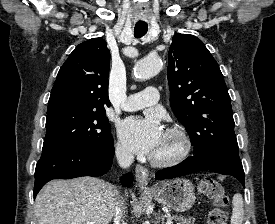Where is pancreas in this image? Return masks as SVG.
Masks as SVG:
<instances>
[{
  "label": "pancreas",
  "instance_id": "pancreas-1",
  "mask_svg": "<svg viewBox=\"0 0 275 224\" xmlns=\"http://www.w3.org/2000/svg\"><path fill=\"white\" fill-rule=\"evenodd\" d=\"M173 219L182 222V224H194L195 219L192 217L174 216Z\"/></svg>",
  "mask_w": 275,
  "mask_h": 224
}]
</instances>
